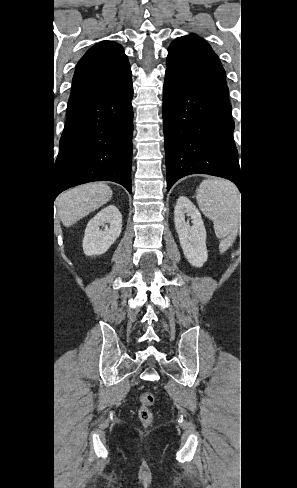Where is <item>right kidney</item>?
I'll return each instance as SVG.
<instances>
[{
    "mask_svg": "<svg viewBox=\"0 0 297 488\" xmlns=\"http://www.w3.org/2000/svg\"><path fill=\"white\" fill-rule=\"evenodd\" d=\"M108 224V225H106ZM100 227H104L103 230ZM122 215L118 208L109 205L98 212L87 224L83 250L87 256L104 254L120 236Z\"/></svg>",
    "mask_w": 297,
    "mask_h": 488,
    "instance_id": "ca27d5eb",
    "label": "right kidney"
}]
</instances>
